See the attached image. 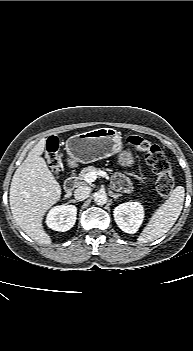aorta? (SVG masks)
<instances>
[{
  "mask_svg": "<svg viewBox=\"0 0 193 351\" xmlns=\"http://www.w3.org/2000/svg\"><path fill=\"white\" fill-rule=\"evenodd\" d=\"M94 201L97 205H104L107 202V195L105 192L98 191L94 193Z\"/></svg>",
  "mask_w": 193,
  "mask_h": 351,
  "instance_id": "aorta-1",
  "label": "aorta"
}]
</instances>
